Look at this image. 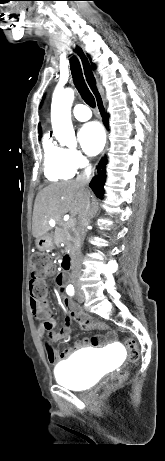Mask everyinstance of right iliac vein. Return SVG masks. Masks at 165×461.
Segmentation results:
<instances>
[{
    "mask_svg": "<svg viewBox=\"0 0 165 461\" xmlns=\"http://www.w3.org/2000/svg\"><path fill=\"white\" fill-rule=\"evenodd\" d=\"M80 297L82 300H84V295L83 294H80Z\"/></svg>",
    "mask_w": 165,
    "mask_h": 461,
    "instance_id": "1",
    "label": "right iliac vein"
}]
</instances>
